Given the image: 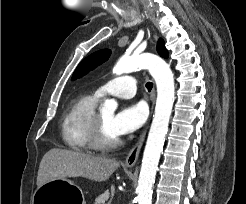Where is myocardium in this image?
<instances>
[{"label": "myocardium", "mask_w": 246, "mask_h": 204, "mask_svg": "<svg viewBox=\"0 0 246 204\" xmlns=\"http://www.w3.org/2000/svg\"><path fill=\"white\" fill-rule=\"evenodd\" d=\"M122 141L118 137L114 140H107L104 135L103 123L99 113H96L90 130V144L92 148L101 151H110L118 148Z\"/></svg>", "instance_id": "myocardium-1"}]
</instances>
